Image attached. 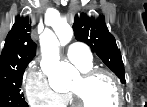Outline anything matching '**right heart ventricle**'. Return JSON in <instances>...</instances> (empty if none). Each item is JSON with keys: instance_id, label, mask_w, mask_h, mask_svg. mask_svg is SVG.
Listing matches in <instances>:
<instances>
[{"instance_id": "obj_1", "label": "right heart ventricle", "mask_w": 147, "mask_h": 107, "mask_svg": "<svg viewBox=\"0 0 147 107\" xmlns=\"http://www.w3.org/2000/svg\"><path fill=\"white\" fill-rule=\"evenodd\" d=\"M90 67H91V65L90 66H87V67L80 68V69L81 70H87ZM68 103H70V97L69 96L67 97V99L65 100V102L63 103V105L68 104Z\"/></svg>"}]
</instances>
